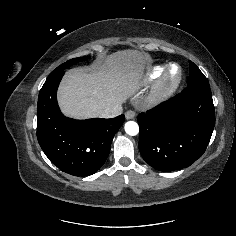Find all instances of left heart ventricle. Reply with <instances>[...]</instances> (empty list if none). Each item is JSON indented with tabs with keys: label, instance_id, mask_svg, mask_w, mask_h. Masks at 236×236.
<instances>
[{
	"label": "left heart ventricle",
	"instance_id": "1",
	"mask_svg": "<svg viewBox=\"0 0 236 236\" xmlns=\"http://www.w3.org/2000/svg\"><path fill=\"white\" fill-rule=\"evenodd\" d=\"M177 73V68L172 69V75H175Z\"/></svg>",
	"mask_w": 236,
	"mask_h": 236
}]
</instances>
